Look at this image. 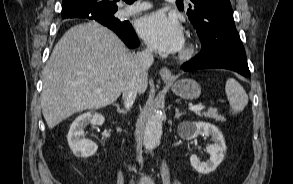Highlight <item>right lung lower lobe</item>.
<instances>
[{"instance_id": "right-lung-lower-lobe-1", "label": "right lung lower lobe", "mask_w": 293, "mask_h": 184, "mask_svg": "<svg viewBox=\"0 0 293 184\" xmlns=\"http://www.w3.org/2000/svg\"><path fill=\"white\" fill-rule=\"evenodd\" d=\"M77 17L96 20L102 25L107 26L113 30L130 48L139 46V40L130 22L116 19L114 17V13L112 12H105L100 9H95Z\"/></svg>"}]
</instances>
